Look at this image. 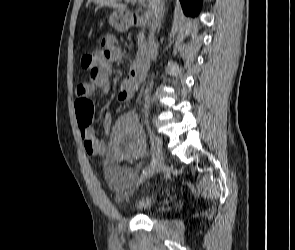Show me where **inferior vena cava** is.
<instances>
[{
    "label": "inferior vena cava",
    "instance_id": "inferior-vena-cava-1",
    "mask_svg": "<svg viewBox=\"0 0 295 250\" xmlns=\"http://www.w3.org/2000/svg\"><path fill=\"white\" fill-rule=\"evenodd\" d=\"M163 1L164 0H155V2H154V9H153L154 16H153V20H152L150 37H149V54H150L151 60H153V61H156V58H157V46H156L155 39H154V32H155L156 28L159 26L160 20L164 14ZM152 85H153V81L151 80L145 89L144 107H145L146 112L148 111L149 105H150V92H151Z\"/></svg>",
    "mask_w": 295,
    "mask_h": 250
}]
</instances>
